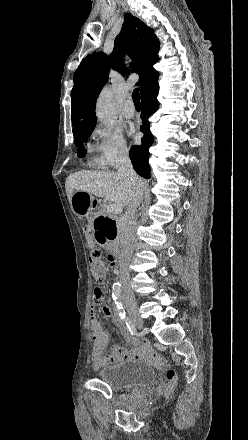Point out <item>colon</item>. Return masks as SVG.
I'll return each mask as SVG.
<instances>
[{
  "instance_id": "5ec220e1",
  "label": "colon",
  "mask_w": 248,
  "mask_h": 440,
  "mask_svg": "<svg viewBox=\"0 0 248 440\" xmlns=\"http://www.w3.org/2000/svg\"><path fill=\"white\" fill-rule=\"evenodd\" d=\"M108 262L111 263V265H113V258L111 256L108 257ZM90 264H91V270H92L94 277L98 281L104 280L106 277L107 268H106L105 263L101 260L100 250L96 247H93L90 250ZM94 296H95V299H99V300H102L104 298V294H103L102 290L99 288H96L94 290ZM167 377L171 382H173L176 377L175 372L170 370L167 373Z\"/></svg>"
}]
</instances>
